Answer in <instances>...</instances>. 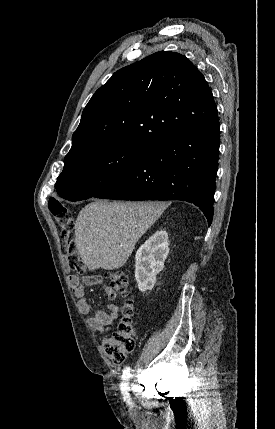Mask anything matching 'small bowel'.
I'll list each match as a JSON object with an SVG mask.
<instances>
[{"label":"small bowel","mask_w":275,"mask_h":429,"mask_svg":"<svg viewBox=\"0 0 275 429\" xmlns=\"http://www.w3.org/2000/svg\"><path fill=\"white\" fill-rule=\"evenodd\" d=\"M69 285L74 293V296L77 298V305L79 310L83 314H89L91 312V306L88 303L85 296V287L86 286H96L103 285V279L99 275H90L80 278L77 275L70 274L68 276ZM107 297L114 301L117 297V294L109 287H105ZM118 316V307L116 304L112 303L107 306V310H97L94 314L88 318L89 326L97 331L104 333L108 331L113 325L115 319Z\"/></svg>","instance_id":"c3829d8e"}]
</instances>
